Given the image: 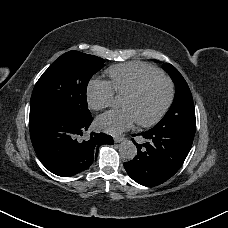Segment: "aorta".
Here are the masks:
<instances>
[{"instance_id": "obj_1", "label": "aorta", "mask_w": 228, "mask_h": 228, "mask_svg": "<svg viewBox=\"0 0 228 228\" xmlns=\"http://www.w3.org/2000/svg\"><path fill=\"white\" fill-rule=\"evenodd\" d=\"M120 156L125 160H132L137 154V148L132 141L125 140L119 146Z\"/></svg>"}]
</instances>
